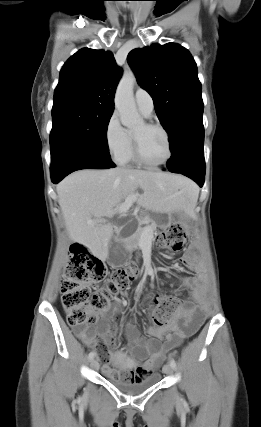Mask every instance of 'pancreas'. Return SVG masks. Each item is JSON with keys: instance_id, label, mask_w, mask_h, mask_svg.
<instances>
[{"instance_id": "obj_1", "label": "pancreas", "mask_w": 261, "mask_h": 427, "mask_svg": "<svg viewBox=\"0 0 261 427\" xmlns=\"http://www.w3.org/2000/svg\"><path fill=\"white\" fill-rule=\"evenodd\" d=\"M150 222H151V219L148 216H145L144 218L139 220V227L135 234V238L137 240L140 238L144 230L147 228V227H141V225H144V224L148 225ZM148 228L151 230V232H153L156 229V224L152 223Z\"/></svg>"}]
</instances>
